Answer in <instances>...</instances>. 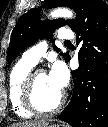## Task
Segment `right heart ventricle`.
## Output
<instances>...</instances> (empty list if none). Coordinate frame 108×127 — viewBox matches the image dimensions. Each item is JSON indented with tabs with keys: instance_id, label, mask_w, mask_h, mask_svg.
I'll use <instances>...</instances> for the list:
<instances>
[{
	"instance_id": "e07e8e85",
	"label": "right heart ventricle",
	"mask_w": 108,
	"mask_h": 127,
	"mask_svg": "<svg viewBox=\"0 0 108 127\" xmlns=\"http://www.w3.org/2000/svg\"><path fill=\"white\" fill-rule=\"evenodd\" d=\"M33 67L34 65L20 60L13 66L9 74L8 96L10 104L15 114L21 118H30L33 116V113L28 111L22 102V87Z\"/></svg>"
}]
</instances>
